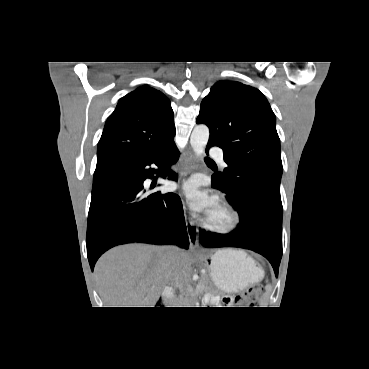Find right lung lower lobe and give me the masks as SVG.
Returning <instances> with one entry per match:
<instances>
[{
	"mask_svg": "<svg viewBox=\"0 0 369 369\" xmlns=\"http://www.w3.org/2000/svg\"><path fill=\"white\" fill-rule=\"evenodd\" d=\"M178 149L170 140L159 148L125 158L93 179L87 224V255L91 270L108 249L126 243L176 244L188 249L184 212L175 193L150 192L143 183L156 170L175 180L170 169ZM160 186V185H158Z\"/></svg>",
	"mask_w": 369,
	"mask_h": 369,
	"instance_id": "98d812e1",
	"label": "right lung lower lobe"
}]
</instances>
